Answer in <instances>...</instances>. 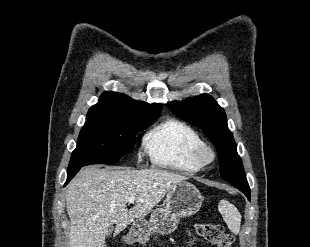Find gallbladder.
Wrapping results in <instances>:
<instances>
[{
    "mask_svg": "<svg viewBox=\"0 0 310 247\" xmlns=\"http://www.w3.org/2000/svg\"><path fill=\"white\" fill-rule=\"evenodd\" d=\"M113 230H114V229H113L112 227H110V228L108 229L107 236H110V235L112 234Z\"/></svg>",
    "mask_w": 310,
    "mask_h": 247,
    "instance_id": "obj_1",
    "label": "gallbladder"
}]
</instances>
